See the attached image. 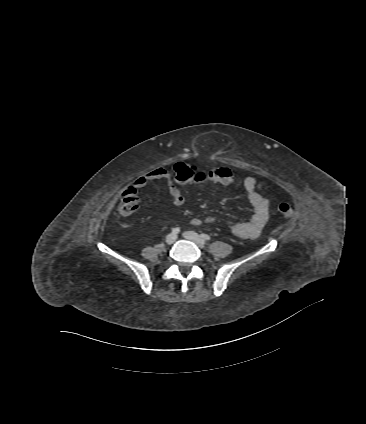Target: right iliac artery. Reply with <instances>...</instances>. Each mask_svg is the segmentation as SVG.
Wrapping results in <instances>:
<instances>
[{"mask_svg": "<svg viewBox=\"0 0 366 424\" xmlns=\"http://www.w3.org/2000/svg\"><path fill=\"white\" fill-rule=\"evenodd\" d=\"M179 232H180V228L178 227L172 229V233L175 235L178 234Z\"/></svg>", "mask_w": 366, "mask_h": 424, "instance_id": "right-iliac-artery-1", "label": "right iliac artery"}]
</instances>
